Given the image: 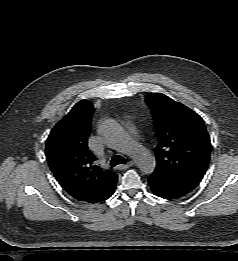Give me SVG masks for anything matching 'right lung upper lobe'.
<instances>
[{
    "mask_svg": "<svg viewBox=\"0 0 238 261\" xmlns=\"http://www.w3.org/2000/svg\"><path fill=\"white\" fill-rule=\"evenodd\" d=\"M93 104L76 103L48 136L46 159L63 189L79 201L95 203L116 186L118 175L103 171L88 149Z\"/></svg>",
    "mask_w": 238,
    "mask_h": 261,
    "instance_id": "cb5924a9",
    "label": "right lung upper lobe"
}]
</instances>
